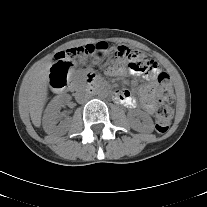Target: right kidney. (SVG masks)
Segmentation results:
<instances>
[{
	"mask_svg": "<svg viewBox=\"0 0 207 207\" xmlns=\"http://www.w3.org/2000/svg\"><path fill=\"white\" fill-rule=\"evenodd\" d=\"M69 100L67 95H59L54 97L48 104L45 114L43 116V128L45 132L52 133L57 130H62L68 127L69 118L62 122L60 126H56L57 119L59 118L61 107Z\"/></svg>",
	"mask_w": 207,
	"mask_h": 207,
	"instance_id": "right-kidney-1",
	"label": "right kidney"
}]
</instances>
